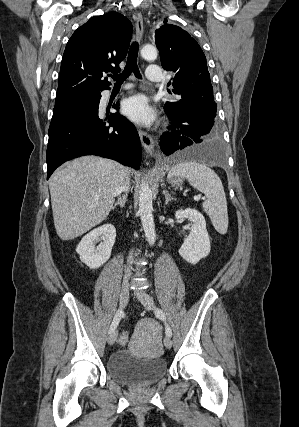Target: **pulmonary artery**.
<instances>
[{
    "label": "pulmonary artery",
    "instance_id": "pulmonary-artery-1",
    "mask_svg": "<svg viewBox=\"0 0 299 427\" xmlns=\"http://www.w3.org/2000/svg\"><path fill=\"white\" fill-rule=\"evenodd\" d=\"M146 79L149 81H161L162 71L161 68L157 65L149 66L146 70Z\"/></svg>",
    "mask_w": 299,
    "mask_h": 427
}]
</instances>
